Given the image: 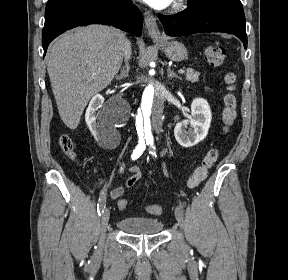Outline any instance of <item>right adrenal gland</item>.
I'll use <instances>...</instances> for the list:
<instances>
[{
  "label": "right adrenal gland",
  "instance_id": "right-adrenal-gland-1",
  "mask_svg": "<svg viewBox=\"0 0 288 280\" xmlns=\"http://www.w3.org/2000/svg\"><path fill=\"white\" fill-rule=\"evenodd\" d=\"M129 69H130L129 65L126 64L125 67H123V69L121 70L120 74L116 78L117 79H122V78L126 77L128 75Z\"/></svg>",
  "mask_w": 288,
  "mask_h": 280
}]
</instances>
